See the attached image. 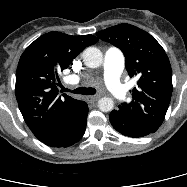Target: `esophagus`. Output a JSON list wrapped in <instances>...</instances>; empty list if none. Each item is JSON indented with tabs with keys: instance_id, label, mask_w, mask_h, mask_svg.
Listing matches in <instances>:
<instances>
[{
	"instance_id": "34e87169",
	"label": "esophagus",
	"mask_w": 187,
	"mask_h": 187,
	"mask_svg": "<svg viewBox=\"0 0 187 187\" xmlns=\"http://www.w3.org/2000/svg\"><path fill=\"white\" fill-rule=\"evenodd\" d=\"M99 98H100L99 95L87 96V97H86V100H87L88 103H92V102L97 101Z\"/></svg>"
}]
</instances>
